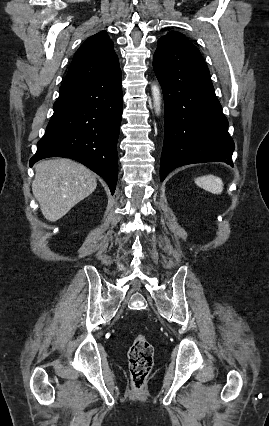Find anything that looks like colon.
Listing matches in <instances>:
<instances>
[{
  "mask_svg": "<svg viewBox=\"0 0 269 426\" xmlns=\"http://www.w3.org/2000/svg\"><path fill=\"white\" fill-rule=\"evenodd\" d=\"M153 347L144 334H138L129 348V370L132 387L141 391L153 367Z\"/></svg>",
  "mask_w": 269,
  "mask_h": 426,
  "instance_id": "5ec220e1",
  "label": "colon"
}]
</instances>
